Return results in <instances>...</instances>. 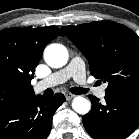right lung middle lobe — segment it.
Masks as SVG:
<instances>
[{"instance_id":"1","label":"right lung middle lobe","mask_w":139,"mask_h":139,"mask_svg":"<svg viewBox=\"0 0 139 139\" xmlns=\"http://www.w3.org/2000/svg\"><path fill=\"white\" fill-rule=\"evenodd\" d=\"M19 102L18 90L9 75L0 71V108Z\"/></svg>"}]
</instances>
